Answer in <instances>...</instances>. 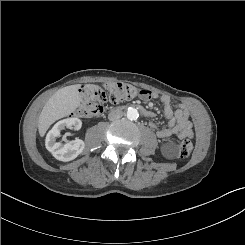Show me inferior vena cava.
Returning <instances> with one entry per match:
<instances>
[{
	"label": "inferior vena cava",
	"mask_w": 245,
	"mask_h": 245,
	"mask_svg": "<svg viewBox=\"0 0 245 245\" xmlns=\"http://www.w3.org/2000/svg\"><path fill=\"white\" fill-rule=\"evenodd\" d=\"M123 116V112L120 109H113L109 115H108V119L110 121H114V120H118Z\"/></svg>",
	"instance_id": "obj_1"
}]
</instances>
